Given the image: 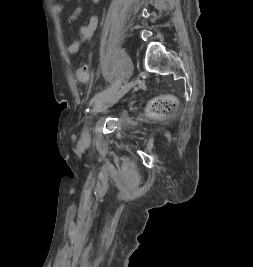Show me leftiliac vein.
Returning <instances> with one entry per match:
<instances>
[{
  "mask_svg": "<svg viewBox=\"0 0 253 267\" xmlns=\"http://www.w3.org/2000/svg\"><path fill=\"white\" fill-rule=\"evenodd\" d=\"M133 84L134 80H131L124 86H122L120 89L114 90L106 94L99 102L95 103V106L93 108V114L106 111L110 106L115 104L121 97H123L132 88ZM83 141L86 143L89 142V136L86 127L83 132Z\"/></svg>",
  "mask_w": 253,
  "mask_h": 267,
  "instance_id": "4c4485c4",
  "label": "left iliac vein"
}]
</instances>
